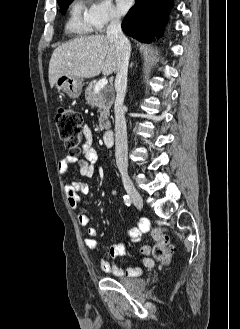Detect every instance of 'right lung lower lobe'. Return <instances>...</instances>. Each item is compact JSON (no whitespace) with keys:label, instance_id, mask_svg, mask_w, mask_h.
Instances as JSON below:
<instances>
[{"label":"right lung lower lobe","instance_id":"right-lung-lower-lobe-1","mask_svg":"<svg viewBox=\"0 0 240 329\" xmlns=\"http://www.w3.org/2000/svg\"><path fill=\"white\" fill-rule=\"evenodd\" d=\"M122 23L123 31L141 41L149 42L151 37H160L173 0H135Z\"/></svg>","mask_w":240,"mask_h":329}]
</instances>
